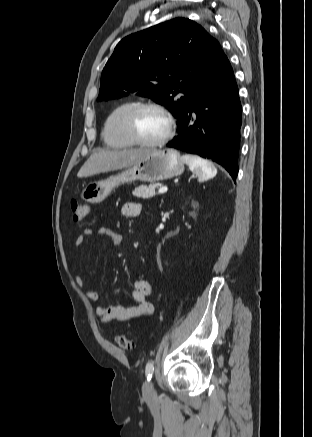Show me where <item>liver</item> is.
<instances>
[{
  "label": "liver",
  "mask_w": 312,
  "mask_h": 437,
  "mask_svg": "<svg viewBox=\"0 0 312 437\" xmlns=\"http://www.w3.org/2000/svg\"><path fill=\"white\" fill-rule=\"evenodd\" d=\"M151 150H97L79 170V178L126 168L144 158Z\"/></svg>",
  "instance_id": "obj_1"
}]
</instances>
